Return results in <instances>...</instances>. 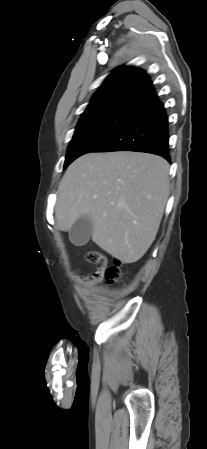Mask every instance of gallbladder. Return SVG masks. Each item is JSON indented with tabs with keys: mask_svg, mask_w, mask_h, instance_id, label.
Segmentation results:
<instances>
[{
	"mask_svg": "<svg viewBox=\"0 0 207 449\" xmlns=\"http://www.w3.org/2000/svg\"><path fill=\"white\" fill-rule=\"evenodd\" d=\"M93 232V223L88 216L78 218L69 230V239L76 246L85 245Z\"/></svg>",
	"mask_w": 207,
	"mask_h": 449,
	"instance_id": "obj_1",
	"label": "gallbladder"
}]
</instances>
